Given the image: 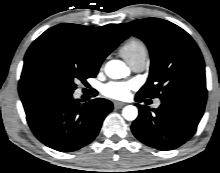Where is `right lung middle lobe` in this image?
<instances>
[{"label":"right lung middle lobe","mask_w":220,"mask_h":173,"mask_svg":"<svg viewBox=\"0 0 220 173\" xmlns=\"http://www.w3.org/2000/svg\"><path fill=\"white\" fill-rule=\"evenodd\" d=\"M98 70L77 65L68 60H62L49 67L45 74L44 91L57 93H73L75 82L86 83L87 78H94Z\"/></svg>","instance_id":"1"}]
</instances>
